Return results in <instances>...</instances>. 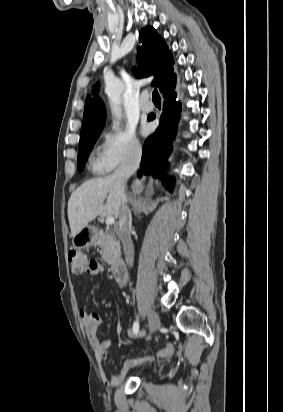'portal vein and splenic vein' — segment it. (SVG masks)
Listing matches in <instances>:
<instances>
[{
    "label": "portal vein and splenic vein",
    "instance_id": "1",
    "mask_svg": "<svg viewBox=\"0 0 283 412\" xmlns=\"http://www.w3.org/2000/svg\"><path fill=\"white\" fill-rule=\"evenodd\" d=\"M105 223L106 225H113L115 223L114 217H107Z\"/></svg>",
    "mask_w": 283,
    "mask_h": 412
}]
</instances>
